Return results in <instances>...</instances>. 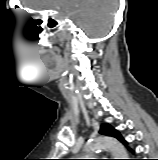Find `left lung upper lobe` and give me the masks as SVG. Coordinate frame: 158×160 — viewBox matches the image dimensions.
<instances>
[{
    "label": "left lung upper lobe",
    "mask_w": 158,
    "mask_h": 160,
    "mask_svg": "<svg viewBox=\"0 0 158 160\" xmlns=\"http://www.w3.org/2000/svg\"><path fill=\"white\" fill-rule=\"evenodd\" d=\"M99 133L103 135L115 137L121 142L124 140L121 134L109 124H102L100 127Z\"/></svg>",
    "instance_id": "1"
}]
</instances>
